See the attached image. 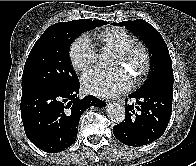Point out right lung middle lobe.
I'll list each match as a JSON object with an SVG mask.
<instances>
[{
	"label": "right lung middle lobe",
	"mask_w": 196,
	"mask_h": 166,
	"mask_svg": "<svg viewBox=\"0 0 196 166\" xmlns=\"http://www.w3.org/2000/svg\"><path fill=\"white\" fill-rule=\"evenodd\" d=\"M105 24L102 20L80 19L48 27L26 60L22 87L44 84L68 89L79 83L69 59L70 45L82 32Z\"/></svg>",
	"instance_id": "right-lung-middle-lobe-1"
}]
</instances>
